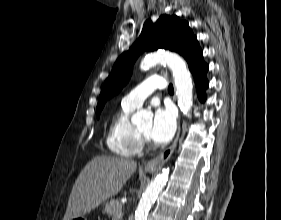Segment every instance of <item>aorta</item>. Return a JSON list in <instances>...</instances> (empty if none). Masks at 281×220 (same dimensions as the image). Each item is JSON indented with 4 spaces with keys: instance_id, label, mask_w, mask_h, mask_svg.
I'll return each mask as SVG.
<instances>
[{
    "instance_id": "aorta-1",
    "label": "aorta",
    "mask_w": 281,
    "mask_h": 220,
    "mask_svg": "<svg viewBox=\"0 0 281 220\" xmlns=\"http://www.w3.org/2000/svg\"><path fill=\"white\" fill-rule=\"evenodd\" d=\"M157 63L166 64L172 71L178 98V106L181 111L187 115L192 107L193 86L185 61L175 53L165 51L157 52L146 56L140 64V69L146 71ZM148 116L149 112L145 110L138 111L133 115L132 122L140 123ZM168 175L169 169H164L147 187L135 211V220H147L148 212L159 193L164 188L168 180Z\"/></svg>"
}]
</instances>
